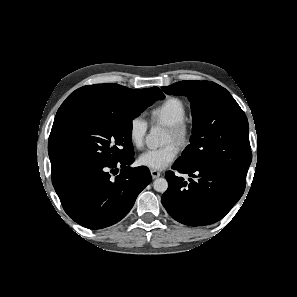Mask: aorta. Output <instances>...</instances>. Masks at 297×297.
<instances>
[{
  "instance_id": "1",
  "label": "aorta",
  "mask_w": 297,
  "mask_h": 297,
  "mask_svg": "<svg viewBox=\"0 0 297 297\" xmlns=\"http://www.w3.org/2000/svg\"><path fill=\"white\" fill-rule=\"evenodd\" d=\"M162 140L163 133L158 127L152 128L146 136V142L152 148L158 147ZM153 187L157 192L164 193L168 188V182L164 178H157L153 183Z\"/></svg>"
}]
</instances>
